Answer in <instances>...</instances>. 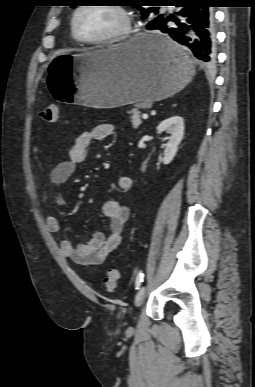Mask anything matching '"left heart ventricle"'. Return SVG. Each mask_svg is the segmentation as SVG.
Segmentation results:
<instances>
[{
	"mask_svg": "<svg viewBox=\"0 0 255 387\" xmlns=\"http://www.w3.org/2000/svg\"><path fill=\"white\" fill-rule=\"evenodd\" d=\"M122 24L121 16L105 6H90L77 17L79 33L89 39L105 37L117 31Z\"/></svg>",
	"mask_w": 255,
	"mask_h": 387,
	"instance_id": "left-heart-ventricle-1",
	"label": "left heart ventricle"
}]
</instances>
